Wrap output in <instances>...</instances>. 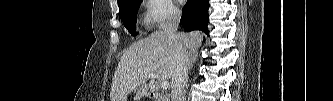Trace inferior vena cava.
Listing matches in <instances>:
<instances>
[{"mask_svg":"<svg viewBox=\"0 0 333 101\" xmlns=\"http://www.w3.org/2000/svg\"><path fill=\"white\" fill-rule=\"evenodd\" d=\"M181 12L173 10L166 21L159 26L168 36L174 50L175 66L171 78V101H184V86L187 81L188 54L177 34Z\"/></svg>","mask_w":333,"mask_h":101,"instance_id":"1","label":"inferior vena cava"}]
</instances>
